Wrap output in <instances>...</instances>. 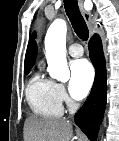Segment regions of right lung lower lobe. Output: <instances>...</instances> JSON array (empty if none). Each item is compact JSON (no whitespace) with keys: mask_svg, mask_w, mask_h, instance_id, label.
<instances>
[{"mask_svg":"<svg viewBox=\"0 0 119 141\" xmlns=\"http://www.w3.org/2000/svg\"><path fill=\"white\" fill-rule=\"evenodd\" d=\"M90 59L96 69L91 93L75 114V123L91 141H96L106 106V67L102 43L98 35L89 42Z\"/></svg>","mask_w":119,"mask_h":141,"instance_id":"1","label":"right lung lower lobe"}]
</instances>
